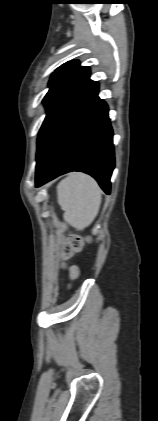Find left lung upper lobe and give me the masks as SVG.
Here are the masks:
<instances>
[{
	"instance_id": "5c2ea615",
	"label": "left lung upper lobe",
	"mask_w": 158,
	"mask_h": 421,
	"mask_svg": "<svg viewBox=\"0 0 158 421\" xmlns=\"http://www.w3.org/2000/svg\"><path fill=\"white\" fill-rule=\"evenodd\" d=\"M89 76L90 69L80 66L78 61L64 63L55 70L49 81V91L43 99L47 111L39 138L57 113L90 80Z\"/></svg>"
}]
</instances>
